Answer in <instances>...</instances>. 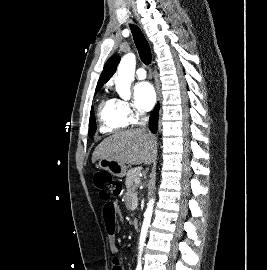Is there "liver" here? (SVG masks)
<instances>
[{"label":"liver","instance_id":"1","mask_svg":"<svg viewBox=\"0 0 267 270\" xmlns=\"http://www.w3.org/2000/svg\"><path fill=\"white\" fill-rule=\"evenodd\" d=\"M156 138L144 129L116 132L95 149L92 162L109 158L130 165H150L156 157Z\"/></svg>","mask_w":267,"mask_h":270}]
</instances>
